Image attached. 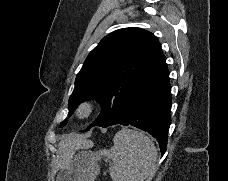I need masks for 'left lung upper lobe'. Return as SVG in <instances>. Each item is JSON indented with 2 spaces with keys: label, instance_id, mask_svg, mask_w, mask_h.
Wrapping results in <instances>:
<instances>
[{
  "label": "left lung upper lobe",
  "instance_id": "1",
  "mask_svg": "<svg viewBox=\"0 0 228 181\" xmlns=\"http://www.w3.org/2000/svg\"><path fill=\"white\" fill-rule=\"evenodd\" d=\"M162 56L158 39L149 31L130 27L105 36L89 53L76 77L68 103L69 116L81 102L94 99L102 111L85 131L115 124L123 117L139 80Z\"/></svg>",
  "mask_w": 228,
  "mask_h": 181
}]
</instances>
